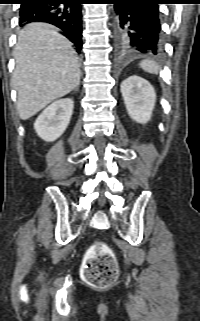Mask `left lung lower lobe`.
<instances>
[{
  "label": "left lung lower lobe",
  "instance_id": "1",
  "mask_svg": "<svg viewBox=\"0 0 200 321\" xmlns=\"http://www.w3.org/2000/svg\"><path fill=\"white\" fill-rule=\"evenodd\" d=\"M163 1L114 0L116 41L120 55L161 52L158 4Z\"/></svg>",
  "mask_w": 200,
  "mask_h": 321
}]
</instances>
